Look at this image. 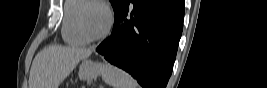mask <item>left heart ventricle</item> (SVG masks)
I'll use <instances>...</instances> for the list:
<instances>
[{
  "label": "left heart ventricle",
  "mask_w": 267,
  "mask_h": 88,
  "mask_svg": "<svg viewBox=\"0 0 267 88\" xmlns=\"http://www.w3.org/2000/svg\"><path fill=\"white\" fill-rule=\"evenodd\" d=\"M83 24L89 35L101 34L107 25L105 10L96 5L87 6L83 11Z\"/></svg>",
  "instance_id": "1"
}]
</instances>
